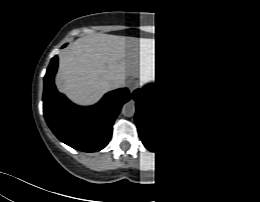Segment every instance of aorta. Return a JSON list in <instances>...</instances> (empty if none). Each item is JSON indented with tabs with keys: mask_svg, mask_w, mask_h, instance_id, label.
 Masks as SVG:
<instances>
[{
	"mask_svg": "<svg viewBox=\"0 0 260 202\" xmlns=\"http://www.w3.org/2000/svg\"><path fill=\"white\" fill-rule=\"evenodd\" d=\"M122 113L126 116H131L134 113V105L132 103H126L122 108Z\"/></svg>",
	"mask_w": 260,
	"mask_h": 202,
	"instance_id": "obj_1",
	"label": "aorta"
}]
</instances>
